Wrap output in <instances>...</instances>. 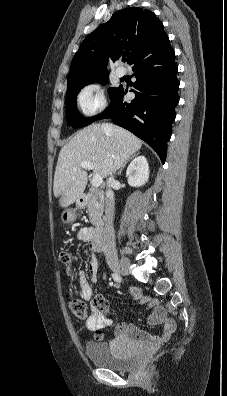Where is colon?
Returning <instances> with one entry per match:
<instances>
[{
  "label": "colon",
  "instance_id": "obj_1",
  "mask_svg": "<svg viewBox=\"0 0 227 396\" xmlns=\"http://www.w3.org/2000/svg\"><path fill=\"white\" fill-rule=\"evenodd\" d=\"M61 259L64 264L70 266L74 261V255L71 251L65 250L61 254ZM69 307L73 315L78 319L84 320L88 318V307L83 300L69 298Z\"/></svg>",
  "mask_w": 227,
  "mask_h": 396
}]
</instances>
